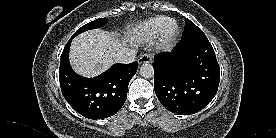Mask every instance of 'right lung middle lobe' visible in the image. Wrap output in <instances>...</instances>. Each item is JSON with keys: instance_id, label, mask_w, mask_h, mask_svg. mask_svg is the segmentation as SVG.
Instances as JSON below:
<instances>
[{"instance_id": "obj_1", "label": "right lung middle lobe", "mask_w": 276, "mask_h": 138, "mask_svg": "<svg viewBox=\"0 0 276 138\" xmlns=\"http://www.w3.org/2000/svg\"><path fill=\"white\" fill-rule=\"evenodd\" d=\"M107 22V19L106 18H99V19H96L92 22H89L88 24L82 26L73 36H77L78 34L84 32V31H87V30H91V29H95V28H99V27H102L106 24Z\"/></svg>"}]
</instances>
